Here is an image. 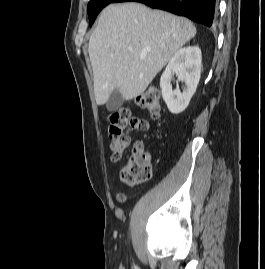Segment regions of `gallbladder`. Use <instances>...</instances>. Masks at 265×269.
<instances>
[{
    "label": "gallbladder",
    "instance_id": "bac80fb5",
    "mask_svg": "<svg viewBox=\"0 0 265 269\" xmlns=\"http://www.w3.org/2000/svg\"><path fill=\"white\" fill-rule=\"evenodd\" d=\"M124 99L118 89H114L106 103V108L109 111H115L122 106Z\"/></svg>",
    "mask_w": 265,
    "mask_h": 269
}]
</instances>
